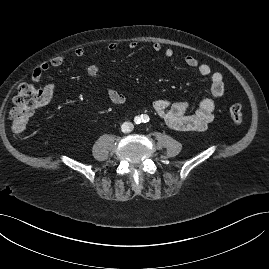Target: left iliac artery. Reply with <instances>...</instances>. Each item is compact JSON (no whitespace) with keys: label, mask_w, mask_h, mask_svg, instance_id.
I'll list each match as a JSON object with an SVG mask.
<instances>
[{"label":"left iliac artery","mask_w":269,"mask_h":269,"mask_svg":"<svg viewBox=\"0 0 269 269\" xmlns=\"http://www.w3.org/2000/svg\"><path fill=\"white\" fill-rule=\"evenodd\" d=\"M144 122H148L149 121V118H148V116H144V120H143Z\"/></svg>","instance_id":"obj_1"}]
</instances>
